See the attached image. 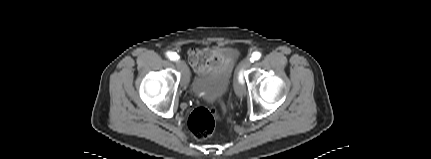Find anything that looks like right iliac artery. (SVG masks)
Here are the masks:
<instances>
[{
  "mask_svg": "<svg viewBox=\"0 0 431 159\" xmlns=\"http://www.w3.org/2000/svg\"><path fill=\"white\" fill-rule=\"evenodd\" d=\"M167 57H168L170 60H172V61H175V60H178V59H179V56H178L176 53H174V52H168V53H167Z\"/></svg>",
  "mask_w": 431,
  "mask_h": 159,
  "instance_id": "right-iliac-artery-1",
  "label": "right iliac artery"
}]
</instances>
